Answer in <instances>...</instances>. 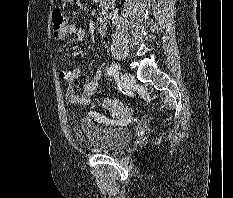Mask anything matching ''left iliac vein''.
Instances as JSON below:
<instances>
[{"instance_id": "left-iliac-vein-1", "label": "left iliac vein", "mask_w": 233, "mask_h": 198, "mask_svg": "<svg viewBox=\"0 0 233 198\" xmlns=\"http://www.w3.org/2000/svg\"><path fill=\"white\" fill-rule=\"evenodd\" d=\"M121 83L124 87L129 88L135 83V78L132 74L126 72L120 76Z\"/></svg>"}]
</instances>
